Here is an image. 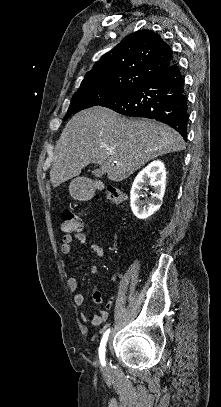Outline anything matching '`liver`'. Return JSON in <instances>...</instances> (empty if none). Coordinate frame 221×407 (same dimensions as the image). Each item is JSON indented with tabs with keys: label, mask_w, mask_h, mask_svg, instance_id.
I'll list each match as a JSON object with an SVG mask.
<instances>
[{
	"label": "liver",
	"mask_w": 221,
	"mask_h": 407,
	"mask_svg": "<svg viewBox=\"0 0 221 407\" xmlns=\"http://www.w3.org/2000/svg\"><path fill=\"white\" fill-rule=\"evenodd\" d=\"M184 148L182 136L168 125L96 106L66 124L55 146L50 181L56 188L95 163L109 180L120 182L148 161Z\"/></svg>",
	"instance_id": "liver-1"
}]
</instances>
